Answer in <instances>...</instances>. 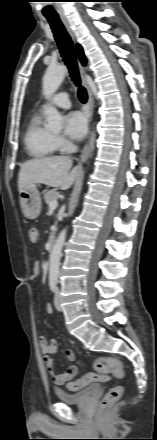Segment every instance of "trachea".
Masks as SVG:
<instances>
[{
  "instance_id": "obj_1",
  "label": "trachea",
  "mask_w": 157,
  "mask_h": 440,
  "mask_svg": "<svg viewBox=\"0 0 157 440\" xmlns=\"http://www.w3.org/2000/svg\"><path fill=\"white\" fill-rule=\"evenodd\" d=\"M47 20L53 31L63 61L69 69L72 81L75 83L76 86H78V98L82 103H86L88 95L86 89L81 86L79 70L71 37L67 33L63 23L59 18H47Z\"/></svg>"
}]
</instances>
